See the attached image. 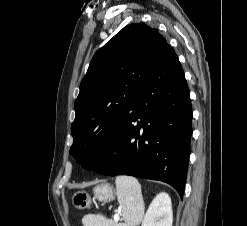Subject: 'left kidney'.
Segmentation results:
<instances>
[{
	"label": "left kidney",
	"mask_w": 247,
	"mask_h": 226,
	"mask_svg": "<svg viewBox=\"0 0 247 226\" xmlns=\"http://www.w3.org/2000/svg\"><path fill=\"white\" fill-rule=\"evenodd\" d=\"M173 213L171 198L159 193L149 205L141 226H172Z\"/></svg>",
	"instance_id": "left-kidney-1"
}]
</instances>
